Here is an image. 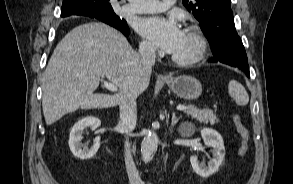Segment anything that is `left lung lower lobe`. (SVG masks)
I'll return each mask as SVG.
<instances>
[{"instance_id": "left-lung-lower-lobe-1", "label": "left lung lower lobe", "mask_w": 293, "mask_h": 184, "mask_svg": "<svg viewBox=\"0 0 293 184\" xmlns=\"http://www.w3.org/2000/svg\"><path fill=\"white\" fill-rule=\"evenodd\" d=\"M221 54L214 56L213 62H222L243 70L250 77L247 55L238 35L227 36L220 45Z\"/></svg>"}]
</instances>
